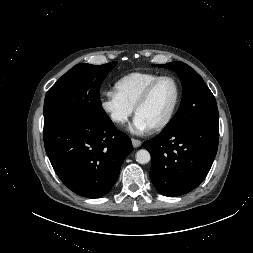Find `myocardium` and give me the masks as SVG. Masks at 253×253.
<instances>
[{
  "label": "myocardium",
  "mask_w": 253,
  "mask_h": 253,
  "mask_svg": "<svg viewBox=\"0 0 253 253\" xmlns=\"http://www.w3.org/2000/svg\"><path fill=\"white\" fill-rule=\"evenodd\" d=\"M165 79H170L174 82L175 87H176V97H175V101L173 103V106L168 114V116L158 125H156L155 127L151 128L152 132H159L163 129H165L174 119L176 112L178 110L180 101H181V85L178 81V79L176 77H174L173 75H162L159 76L157 79H155L151 84H149V86L144 90V92L142 93V95L140 96V98L138 99L135 107H134V114L137 116L138 111L148 102V100L150 99L153 91L155 90V88L157 87V85L165 80Z\"/></svg>",
  "instance_id": "myocardium-1"
}]
</instances>
